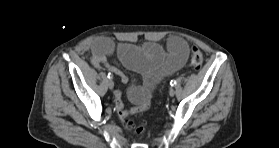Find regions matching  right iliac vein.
<instances>
[{"instance_id":"obj_1","label":"right iliac vein","mask_w":279,"mask_h":148,"mask_svg":"<svg viewBox=\"0 0 279 148\" xmlns=\"http://www.w3.org/2000/svg\"><path fill=\"white\" fill-rule=\"evenodd\" d=\"M107 84H108V87H109L110 89H113V88H114V82H113L111 79H109V80L107 81Z\"/></svg>"}]
</instances>
